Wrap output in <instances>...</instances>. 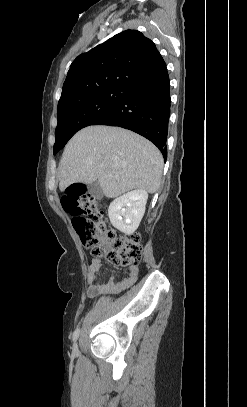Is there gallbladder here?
<instances>
[{
  "label": "gallbladder",
  "instance_id": "gallbladder-1",
  "mask_svg": "<svg viewBox=\"0 0 247 407\" xmlns=\"http://www.w3.org/2000/svg\"><path fill=\"white\" fill-rule=\"evenodd\" d=\"M88 191L96 200H100L103 197V191L98 181L89 184Z\"/></svg>",
  "mask_w": 247,
  "mask_h": 407
}]
</instances>
